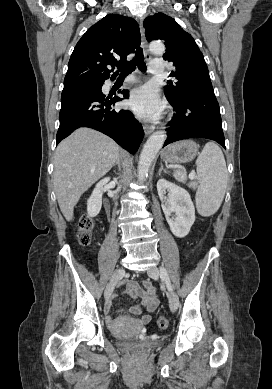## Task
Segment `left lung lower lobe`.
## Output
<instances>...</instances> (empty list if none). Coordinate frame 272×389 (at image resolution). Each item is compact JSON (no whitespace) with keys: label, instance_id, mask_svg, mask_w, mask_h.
Segmentation results:
<instances>
[{"label":"left lung lower lobe","instance_id":"left-lung-lower-lobe-1","mask_svg":"<svg viewBox=\"0 0 272 389\" xmlns=\"http://www.w3.org/2000/svg\"><path fill=\"white\" fill-rule=\"evenodd\" d=\"M176 114L169 122L164 146L187 138H206L225 148L219 104L213 87L184 91L177 101H170Z\"/></svg>","mask_w":272,"mask_h":389}]
</instances>
